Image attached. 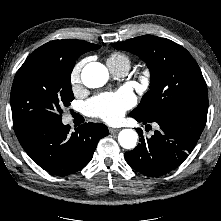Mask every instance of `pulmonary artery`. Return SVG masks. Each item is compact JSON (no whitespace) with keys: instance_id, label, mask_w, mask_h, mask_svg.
<instances>
[{"instance_id":"e3ab8cb5","label":"pulmonary artery","mask_w":221,"mask_h":221,"mask_svg":"<svg viewBox=\"0 0 221 221\" xmlns=\"http://www.w3.org/2000/svg\"><path fill=\"white\" fill-rule=\"evenodd\" d=\"M108 67H109L110 71L118 77L125 76L129 71V67L127 65H118V66L108 65Z\"/></svg>"}]
</instances>
